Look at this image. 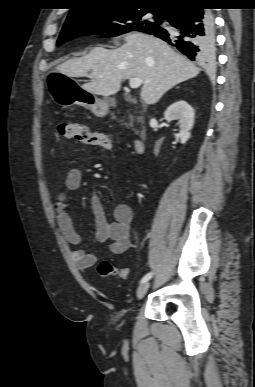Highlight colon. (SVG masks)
Returning <instances> with one entry per match:
<instances>
[{
    "label": "colon",
    "mask_w": 255,
    "mask_h": 387,
    "mask_svg": "<svg viewBox=\"0 0 255 387\" xmlns=\"http://www.w3.org/2000/svg\"><path fill=\"white\" fill-rule=\"evenodd\" d=\"M59 134L67 140H75L82 144L110 149L114 145L113 138L105 133L92 132L85 125L75 122H63L58 126ZM97 271L102 277L119 276L128 279L130 271L127 268H116L109 261H100Z\"/></svg>",
    "instance_id": "1"
}]
</instances>
